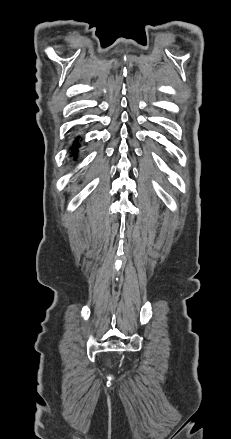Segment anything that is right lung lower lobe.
<instances>
[{"mask_svg":"<svg viewBox=\"0 0 231 439\" xmlns=\"http://www.w3.org/2000/svg\"><path fill=\"white\" fill-rule=\"evenodd\" d=\"M77 145H78V141L75 140V142H74V144H73V146H72V151H73V152H74L75 149L77 148Z\"/></svg>","mask_w":231,"mask_h":439,"instance_id":"1","label":"right lung lower lobe"}]
</instances>
